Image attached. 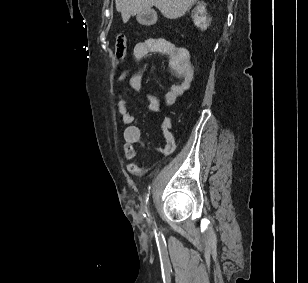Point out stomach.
<instances>
[{
    "mask_svg": "<svg viewBox=\"0 0 308 283\" xmlns=\"http://www.w3.org/2000/svg\"><path fill=\"white\" fill-rule=\"evenodd\" d=\"M137 20L141 24H148L150 22L149 21L150 17L148 16V12L147 11H143V12L139 13L138 16H137Z\"/></svg>",
    "mask_w": 308,
    "mask_h": 283,
    "instance_id": "0dacf381",
    "label": "stomach"
}]
</instances>
